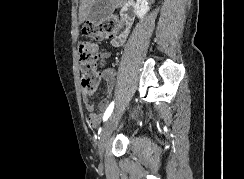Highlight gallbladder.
<instances>
[{
    "instance_id": "gallbladder-1",
    "label": "gallbladder",
    "mask_w": 244,
    "mask_h": 179,
    "mask_svg": "<svg viewBox=\"0 0 244 179\" xmlns=\"http://www.w3.org/2000/svg\"><path fill=\"white\" fill-rule=\"evenodd\" d=\"M114 10L111 0H95L88 16V22L99 24L101 20H106Z\"/></svg>"
}]
</instances>
